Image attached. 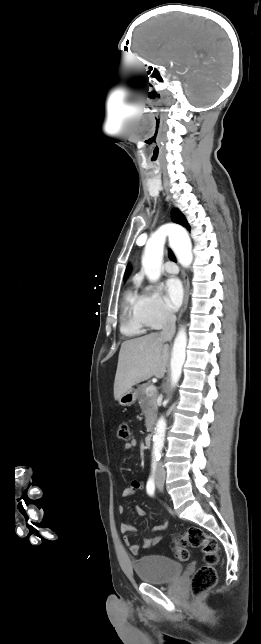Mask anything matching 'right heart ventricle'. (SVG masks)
<instances>
[{
	"label": "right heart ventricle",
	"mask_w": 261,
	"mask_h": 644,
	"mask_svg": "<svg viewBox=\"0 0 261 644\" xmlns=\"http://www.w3.org/2000/svg\"><path fill=\"white\" fill-rule=\"evenodd\" d=\"M149 327L143 311L141 295L129 289L126 291L123 302L121 330L128 336L144 334Z\"/></svg>",
	"instance_id": "e07e8e85"
}]
</instances>
